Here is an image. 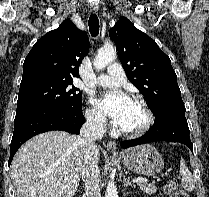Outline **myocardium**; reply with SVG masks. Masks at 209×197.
I'll return each mask as SVG.
<instances>
[{
    "label": "myocardium",
    "instance_id": "obj_1",
    "mask_svg": "<svg viewBox=\"0 0 209 197\" xmlns=\"http://www.w3.org/2000/svg\"><path fill=\"white\" fill-rule=\"evenodd\" d=\"M136 103L140 105L142 108L144 115H145V120L141 126L134 130H124L120 129V133L124 136L130 137V138H135V137H140L147 133L151 126L154 123V115L149 106L147 105L146 101L142 98H136Z\"/></svg>",
    "mask_w": 209,
    "mask_h": 197
}]
</instances>
